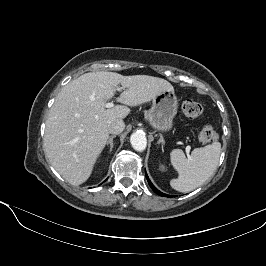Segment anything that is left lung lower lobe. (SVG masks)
I'll return each instance as SVG.
<instances>
[{
  "mask_svg": "<svg viewBox=\"0 0 266 266\" xmlns=\"http://www.w3.org/2000/svg\"><path fill=\"white\" fill-rule=\"evenodd\" d=\"M145 175H146L147 181H148V183H149V186L151 187V189H152L156 194H158V195H160V196H163V197H172V196H170V195H167V194L162 193L161 191H159V190H158V189L152 184V182L150 181V179H149V177H148V175H147L146 172H145Z\"/></svg>",
  "mask_w": 266,
  "mask_h": 266,
  "instance_id": "obj_1",
  "label": "left lung lower lobe"
}]
</instances>
